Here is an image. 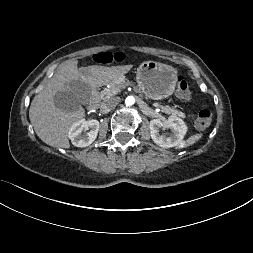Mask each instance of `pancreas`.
Listing matches in <instances>:
<instances>
[{
  "label": "pancreas",
  "mask_w": 253,
  "mask_h": 253,
  "mask_svg": "<svg viewBox=\"0 0 253 253\" xmlns=\"http://www.w3.org/2000/svg\"><path fill=\"white\" fill-rule=\"evenodd\" d=\"M126 87V82L125 80H121L117 83H111V85L109 86V88L104 89L101 92V96L104 98H109L112 97L114 95H116L118 92H120L121 89ZM155 107H160L161 111L169 114V115H173V116H178L180 118H185V114L177 109L171 108L169 106H163V105H159L158 103L153 104Z\"/></svg>",
  "instance_id": "cf45deb5"
}]
</instances>
